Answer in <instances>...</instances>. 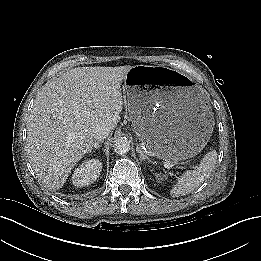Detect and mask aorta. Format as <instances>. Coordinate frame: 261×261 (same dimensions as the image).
<instances>
[{
  "label": "aorta",
  "instance_id": "aorta-1",
  "mask_svg": "<svg viewBox=\"0 0 261 261\" xmlns=\"http://www.w3.org/2000/svg\"><path fill=\"white\" fill-rule=\"evenodd\" d=\"M113 148L117 154H126L130 150V142L127 138L118 137L113 142Z\"/></svg>",
  "mask_w": 261,
  "mask_h": 261
}]
</instances>
